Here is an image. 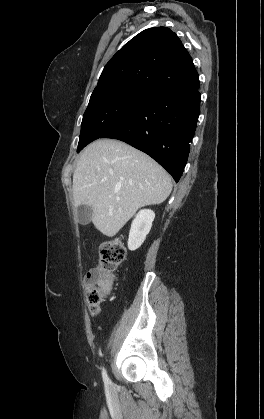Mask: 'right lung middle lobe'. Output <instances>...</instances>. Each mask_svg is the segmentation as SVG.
I'll use <instances>...</instances> for the list:
<instances>
[{"mask_svg": "<svg viewBox=\"0 0 264 419\" xmlns=\"http://www.w3.org/2000/svg\"><path fill=\"white\" fill-rule=\"evenodd\" d=\"M154 95L127 84L108 85L93 91L83 115L77 152L125 121L139 105Z\"/></svg>", "mask_w": 264, "mask_h": 419, "instance_id": "obj_1", "label": "right lung middle lobe"}]
</instances>
